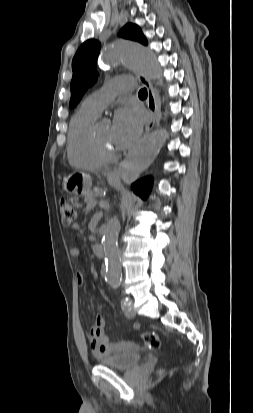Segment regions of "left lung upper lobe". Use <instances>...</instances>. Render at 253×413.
Here are the masks:
<instances>
[{
  "label": "left lung upper lobe",
  "mask_w": 253,
  "mask_h": 413,
  "mask_svg": "<svg viewBox=\"0 0 253 413\" xmlns=\"http://www.w3.org/2000/svg\"><path fill=\"white\" fill-rule=\"evenodd\" d=\"M119 35L123 38L135 40L147 44V39L141 29L134 24H126ZM101 44L97 40H87L77 50L73 61V78L71 81L70 108H73L81 100L83 94L97 80L96 63Z\"/></svg>",
  "instance_id": "obj_1"
}]
</instances>
